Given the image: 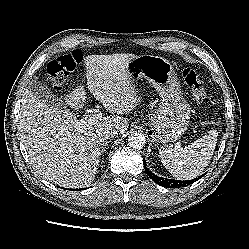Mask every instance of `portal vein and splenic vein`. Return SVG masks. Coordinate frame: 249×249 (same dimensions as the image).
I'll use <instances>...</instances> for the list:
<instances>
[{
    "label": "portal vein and splenic vein",
    "instance_id": "18ae733b",
    "mask_svg": "<svg viewBox=\"0 0 249 249\" xmlns=\"http://www.w3.org/2000/svg\"><path fill=\"white\" fill-rule=\"evenodd\" d=\"M100 115H101L100 113H96L93 117L83 118L77 123V126L79 127L89 126L93 124L96 120H98L100 118Z\"/></svg>",
    "mask_w": 249,
    "mask_h": 249
}]
</instances>
